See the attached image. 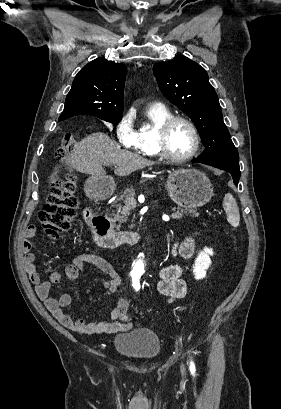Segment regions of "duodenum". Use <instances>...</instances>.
Wrapping results in <instances>:
<instances>
[{
    "label": "duodenum",
    "instance_id": "duodenum-1",
    "mask_svg": "<svg viewBox=\"0 0 281 409\" xmlns=\"http://www.w3.org/2000/svg\"><path fill=\"white\" fill-rule=\"evenodd\" d=\"M84 219L90 229L94 241L104 248H115L121 244H136L138 234L131 231L111 232L102 214L89 207L83 211Z\"/></svg>",
    "mask_w": 281,
    "mask_h": 409
}]
</instances>
